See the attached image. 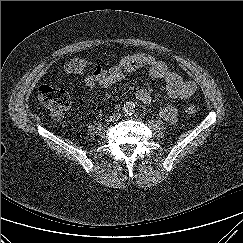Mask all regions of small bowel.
<instances>
[{"label": "small bowel", "instance_id": "small-bowel-1", "mask_svg": "<svg viewBox=\"0 0 243 243\" xmlns=\"http://www.w3.org/2000/svg\"><path fill=\"white\" fill-rule=\"evenodd\" d=\"M144 68L148 69L149 75L152 78L162 80L165 83L164 95L170 99H187L197 89L195 82L183 79L165 62L146 53L127 55L108 69H104L98 65L92 74H88L83 78V83L89 90L96 87H108L120 82L126 73ZM135 97L144 104H149L152 101V95L146 89H139ZM160 114L169 124H174L177 121V110L173 106H164Z\"/></svg>", "mask_w": 243, "mask_h": 243}]
</instances>
